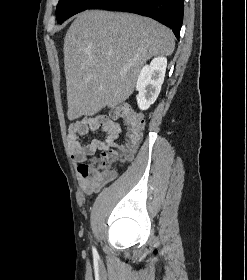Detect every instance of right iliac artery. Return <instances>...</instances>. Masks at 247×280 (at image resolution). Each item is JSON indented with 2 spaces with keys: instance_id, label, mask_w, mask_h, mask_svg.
Segmentation results:
<instances>
[{
  "instance_id": "right-iliac-artery-1",
  "label": "right iliac artery",
  "mask_w": 247,
  "mask_h": 280,
  "mask_svg": "<svg viewBox=\"0 0 247 280\" xmlns=\"http://www.w3.org/2000/svg\"><path fill=\"white\" fill-rule=\"evenodd\" d=\"M93 253H96V249L93 247Z\"/></svg>"
}]
</instances>
